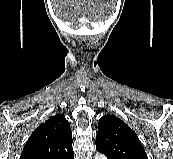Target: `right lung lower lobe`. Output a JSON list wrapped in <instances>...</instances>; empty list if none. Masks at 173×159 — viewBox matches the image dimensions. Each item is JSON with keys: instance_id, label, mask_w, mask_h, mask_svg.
<instances>
[{"instance_id": "obj_1", "label": "right lung lower lobe", "mask_w": 173, "mask_h": 159, "mask_svg": "<svg viewBox=\"0 0 173 159\" xmlns=\"http://www.w3.org/2000/svg\"><path fill=\"white\" fill-rule=\"evenodd\" d=\"M69 159H74V155H72V157H70Z\"/></svg>"}]
</instances>
